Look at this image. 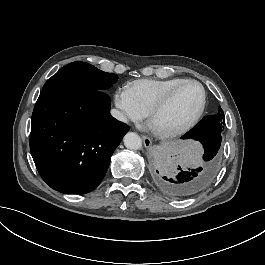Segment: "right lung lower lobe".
Instances as JSON below:
<instances>
[{
    "label": "right lung lower lobe",
    "mask_w": 265,
    "mask_h": 265,
    "mask_svg": "<svg viewBox=\"0 0 265 265\" xmlns=\"http://www.w3.org/2000/svg\"><path fill=\"white\" fill-rule=\"evenodd\" d=\"M99 90H44L32 114L30 151L42 179L65 194H85L104 178L129 126L110 115Z\"/></svg>",
    "instance_id": "1"
}]
</instances>
